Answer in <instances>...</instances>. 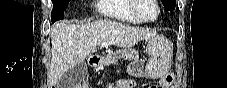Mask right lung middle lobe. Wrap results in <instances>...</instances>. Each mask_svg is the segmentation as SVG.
Returning <instances> with one entry per match:
<instances>
[{
  "mask_svg": "<svg viewBox=\"0 0 227 88\" xmlns=\"http://www.w3.org/2000/svg\"><path fill=\"white\" fill-rule=\"evenodd\" d=\"M70 0H52L53 10L51 13V21L54 23L57 20L63 19L64 10Z\"/></svg>",
  "mask_w": 227,
  "mask_h": 88,
  "instance_id": "right-lung-middle-lobe-1",
  "label": "right lung middle lobe"
}]
</instances>
